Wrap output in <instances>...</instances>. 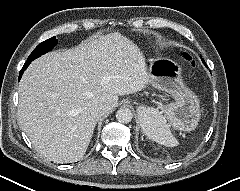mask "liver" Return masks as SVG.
<instances>
[{"label": "liver", "instance_id": "1", "mask_svg": "<svg viewBox=\"0 0 240 191\" xmlns=\"http://www.w3.org/2000/svg\"><path fill=\"white\" fill-rule=\"evenodd\" d=\"M149 83L145 58L130 39L111 33L34 60L19 84L18 120L44 157L56 163L83 157L99 118L119 95ZM105 103L100 114L95 106Z\"/></svg>", "mask_w": 240, "mask_h": 191}]
</instances>
